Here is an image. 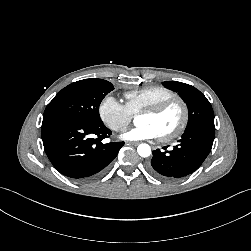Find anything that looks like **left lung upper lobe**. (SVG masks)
<instances>
[{
    "label": "left lung upper lobe",
    "mask_w": 251,
    "mask_h": 251,
    "mask_svg": "<svg viewBox=\"0 0 251 251\" xmlns=\"http://www.w3.org/2000/svg\"><path fill=\"white\" fill-rule=\"evenodd\" d=\"M164 84L168 88L177 91L188 105L189 118L186 129L199 125L215 127L211 104L199 90L189 84L178 81H165Z\"/></svg>",
    "instance_id": "left-lung-upper-lobe-1"
}]
</instances>
